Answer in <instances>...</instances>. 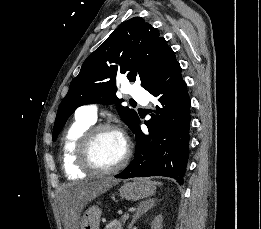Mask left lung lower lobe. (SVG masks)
Instances as JSON below:
<instances>
[{"label":"left lung lower lobe","instance_id":"0a47b994","mask_svg":"<svg viewBox=\"0 0 261 229\" xmlns=\"http://www.w3.org/2000/svg\"><path fill=\"white\" fill-rule=\"evenodd\" d=\"M157 98L155 114L145 121V135L139 117L132 130L136 138L134 160L116 178L165 176L182 180L187 172L190 128V99L177 63L146 89Z\"/></svg>","mask_w":261,"mask_h":229}]
</instances>
